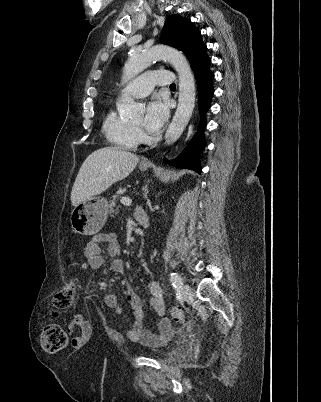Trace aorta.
<instances>
[{"instance_id":"aorta-1","label":"aorta","mask_w":321,"mask_h":402,"mask_svg":"<svg viewBox=\"0 0 321 402\" xmlns=\"http://www.w3.org/2000/svg\"><path fill=\"white\" fill-rule=\"evenodd\" d=\"M167 60L179 78L178 106L165 134V144H173L183 133L195 107V79L184 54L175 48L156 45L146 51L131 50L123 69V79L129 80L148 68L153 61ZM118 111L130 118H137L143 112L142 105L129 100L118 105Z\"/></svg>"}]
</instances>
